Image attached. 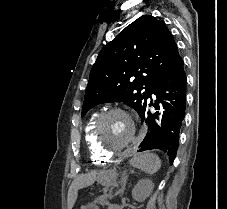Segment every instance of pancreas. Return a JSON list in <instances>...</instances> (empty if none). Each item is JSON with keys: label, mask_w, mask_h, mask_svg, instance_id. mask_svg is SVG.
Listing matches in <instances>:
<instances>
[{"label": "pancreas", "mask_w": 227, "mask_h": 209, "mask_svg": "<svg viewBox=\"0 0 227 209\" xmlns=\"http://www.w3.org/2000/svg\"><path fill=\"white\" fill-rule=\"evenodd\" d=\"M104 206L107 208L110 205L106 203ZM106 208L100 206H89L87 209H106Z\"/></svg>", "instance_id": "obj_1"}]
</instances>
